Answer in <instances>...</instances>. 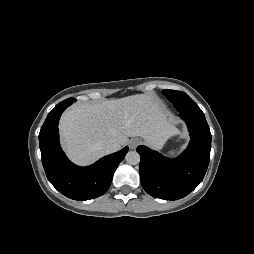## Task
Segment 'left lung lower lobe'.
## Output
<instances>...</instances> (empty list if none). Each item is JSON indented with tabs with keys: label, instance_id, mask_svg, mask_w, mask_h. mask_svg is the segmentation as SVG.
I'll return each instance as SVG.
<instances>
[{
	"label": "left lung lower lobe",
	"instance_id": "obj_1",
	"mask_svg": "<svg viewBox=\"0 0 254 254\" xmlns=\"http://www.w3.org/2000/svg\"><path fill=\"white\" fill-rule=\"evenodd\" d=\"M191 141L176 159H168L145 146H138L141 183L151 196L178 200L192 192L203 180L211 150V133L204 113L181 112Z\"/></svg>",
	"mask_w": 254,
	"mask_h": 254
}]
</instances>
